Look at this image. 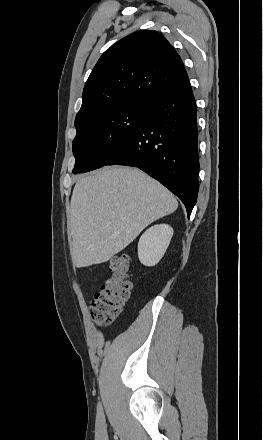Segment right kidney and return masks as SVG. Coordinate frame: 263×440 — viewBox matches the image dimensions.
<instances>
[{"label":"right kidney","mask_w":263,"mask_h":440,"mask_svg":"<svg viewBox=\"0 0 263 440\" xmlns=\"http://www.w3.org/2000/svg\"><path fill=\"white\" fill-rule=\"evenodd\" d=\"M173 236V228L166 224L147 229L138 243V257L145 266H154L163 257Z\"/></svg>","instance_id":"right-kidney-1"}]
</instances>
